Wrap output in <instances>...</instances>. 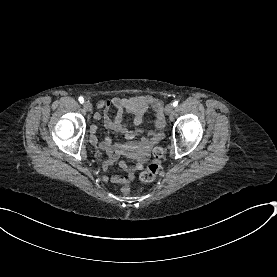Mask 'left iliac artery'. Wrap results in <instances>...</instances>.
I'll return each mask as SVG.
<instances>
[{
  "label": "left iliac artery",
  "mask_w": 277,
  "mask_h": 277,
  "mask_svg": "<svg viewBox=\"0 0 277 277\" xmlns=\"http://www.w3.org/2000/svg\"><path fill=\"white\" fill-rule=\"evenodd\" d=\"M178 105V102L177 101H174L173 102V106L176 107Z\"/></svg>",
  "instance_id": "left-iliac-artery-1"
}]
</instances>
